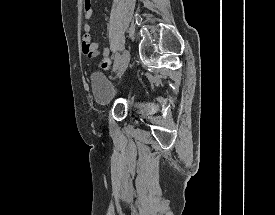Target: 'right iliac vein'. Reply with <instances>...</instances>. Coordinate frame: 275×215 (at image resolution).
Here are the masks:
<instances>
[{"label":"right iliac vein","instance_id":"63e3f726","mask_svg":"<svg viewBox=\"0 0 275 215\" xmlns=\"http://www.w3.org/2000/svg\"><path fill=\"white\" fill-rule=\"evenodd\" d=\"M129 61H130V54L128 51L125 50L119 60V66L117 69L118 77H121L124 74L128 64H129Z\"/></svg>","mask_w":275,"mask_h":215}]
</instances>
